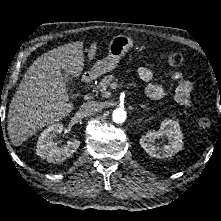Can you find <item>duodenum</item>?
I'll return each mask as SVG.
<instances>
[{"label":"duodenum","mask_w":221,"mask_h":221,"mask_svg":"<svg viewBox=\"0 0 221 221\" xmlns=\"http://www.w3.org/2000/svg\"><path fill=\"white\" fill-rule=\"evenodd\" d=\"M92 80V76L90 74H85L82 77V83L83 84H88Z\"/></svg>","instance_id":"duodenum-1"}]
</instances>
